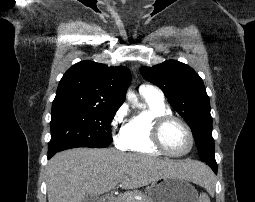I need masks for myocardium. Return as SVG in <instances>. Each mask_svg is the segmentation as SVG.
I'll list each match as a JSON object with an SVG mask.
<instances>
[{
  "mask_svg": "<svg viewBox=\"0 0 255 202\" xmlns=\"http://www.w3.org/2000/svg\"><path fill=\"white\" fill-rule=\"evenodd\" d=\"M172 122L180 123L188 133V136L190 139V145L188 149L184 152H180V153L173 152L169 150L163 142V131L165 127ZM151 141L153 145L161 153L169 155V156H173V157H181V156L187 155L188 153L192 151L194 147V143H195V138H194V134L192 132L191 127L185 120L175 115L167 114V115H162L154 120L152 124V128H151Z\"/></svg>",
  "mask_w": 255,
  "mask_h": 202,
  "instance_id": "1",
  "label": "myocardium"
}]
</instances>
